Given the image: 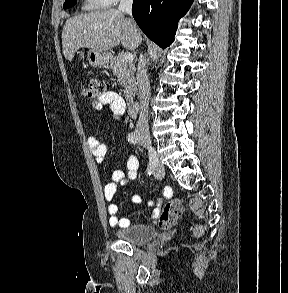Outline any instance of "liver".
I'll return each instance as SVG.
<instances>
[{"label":"liver","instance_id":"liver-1","mask_svg":"<svg viewBox=\"0 0 288 293\" xmlns=\"http://www.w3.org/2000/svg\"><path fill=\"white\" fill-rule=\"evenodd\" d=\"M141 41V33L134 21L116 9L68 18L62 31L63 54L68 61H72L81 47L107 53L120 43L125 49L134 50Z\"/></svg>","mask_w":288,"mask_h":293}]
</instances>
